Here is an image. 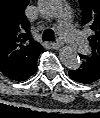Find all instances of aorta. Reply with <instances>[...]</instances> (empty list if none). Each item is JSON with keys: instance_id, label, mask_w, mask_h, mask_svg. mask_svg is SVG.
I'll return each mask as SVG.
<instances>
[{"instance_id": "1", "label": "aorta", "mask_w": 100, "mask_h": 118, "mask_svg": "<svg viewBox=\"0 0 100 118\" xmlns=\"http://www.w3.org/2000/svg\"><path fill=\"white\" fill-rule=\"evenodd\" d=\"M62 7V0H38V9L46 17H56L61 12ZM59 57L68 69L76 70L80 67L78 54L69 47L61 48Z\"/></svg>"}]
</instances>
